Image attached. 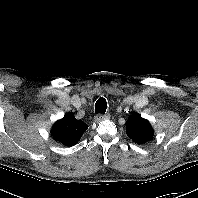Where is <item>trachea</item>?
Returning a JSON list of instances; mask_svg holds the SVG:
<instances>
[{
	"label": "trachea",
	"mask_w": 198,
	"mask_h": 198,
	"mask_svg": "<svg viewBox=\"0 0 198 198\" xmlns=\"http://www.w3.org/2000/svg\"><path fill=\"white\" fill-rule=\"evenodd\" d=\"M107 109V102L105 100V98L101 97L97 100V102L95 103V111L96 113H101V114H105Z\"/></svg>",
	"instance_id": "1"
}]
</instances>
